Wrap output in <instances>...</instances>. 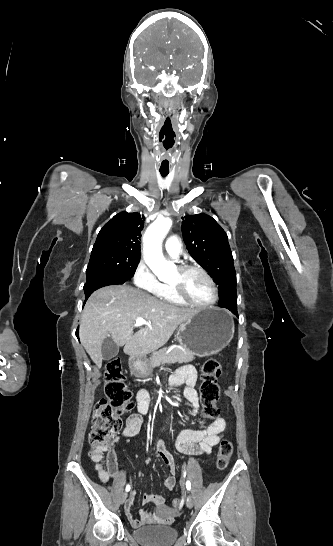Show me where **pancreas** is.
<instances>
[{"label":"pancreas","instance_id":"1","mask_svg":"<svg viewBox=\"0 0 333 546\" xmlns=\"http://www.w3.org/2000/svg\"><path fill=\"white\" fill-rule=\"evenodd\" d=\"M194 360V354L191 352H184L179 348H173L169 351V348L165 347L152 353L149 362V367L156 368L162 364H174V363H188Z\"/></svg>","mask_w":333,"mask_h":546}]
</instances>
